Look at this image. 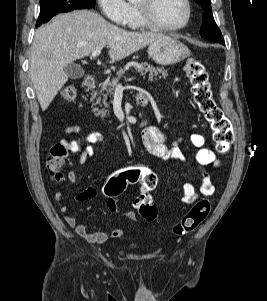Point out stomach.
Wrapping results in <instances>:
<instances>
[{"mask_svg":"<svg viewBox=\"0 0 267 301\" xmlns=\"http://www.w3.org/2000/svg\"><path fill=\"white\" fill-rule=\"evenodd\" d=\"M148 55L159 65H173L186 59L190 50L176 38L164 36L149 45Z\"/></svg>","mask_w":267,"mask_h":301,"instance_id":"stomach-1","label":"stomach"}]
</instances>
